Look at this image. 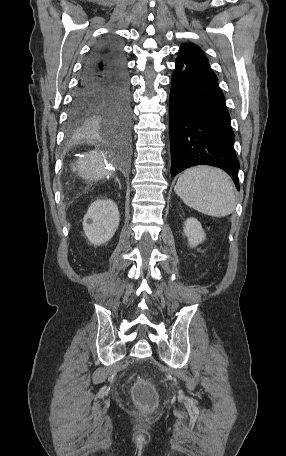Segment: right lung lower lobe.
<instances>
[{
    "instance_id": "obj_1",
    "label": "right lung lower lobe",
    "mask_w": 286,
    "mask_h": 456,
    "mask_svg": "<svg viewBox=\"0 0 286 456\" xmlns=\"http://www.w3.org/2000/svg\"><path fill=\"white\" fill-rule=\"evenodd\" d=\"M98 46L87 59L75 92L67 124L70 134L100 126L127 138L131 130L130 89L121 60L100 59ZM126 126L120 134L117 127Z\"/></svg>"
}]
</instances>
